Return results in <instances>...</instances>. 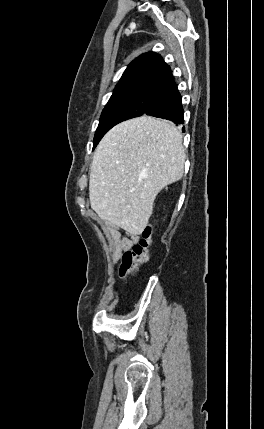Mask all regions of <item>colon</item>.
<instances>
[{
  "label": "colon",
  "instance_id": "colon-1",
  "mask_svg": "<svg viewBox=\"0 0 264 429\" xmlns=\"http://www.w3.org/2000/svg\"><path fill=\"white\" fill-rule=\"evenodd\" d=\"M152 234L153 229L150 226L145 227L139 242L123 254L119 267V276L122 279L132 275L140 264L148 260Z\"/></svg>",
  "mask_w": 264,
  "mask_h": 429
}]
</instances>
